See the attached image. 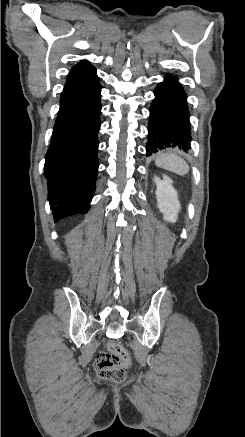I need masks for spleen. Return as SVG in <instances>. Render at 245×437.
I'll return each instance as SVG.
<instances>
[{"label": "spleen", "instance_id": "3e777b00", "mask_svg": "<svg viewBox=\"0 0 245 437\" xmlns=\"http://www.w3.org/2000/svg\"><path fill=\"white\" fill-rule=\"evenodd\" d=\"M155 164L178 175H185L190 168L187 162L174 152H161L155 158Z\"/></svg>", "mask_w": 245, "mask_h": 437}]
</instances>
